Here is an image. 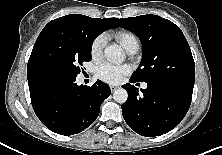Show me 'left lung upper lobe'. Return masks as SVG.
Returning <instances> with one entry per match:
<instances>
[{
    "instance_id": "5c2ea615",
    "label": "left lung upper lobe",
    "mask_w": 222,
    "mask_h": 155,
    "mask_svg": "<svg viewBox=\"0 0 222 155\" xmlns=\"http://www.w3.org/2000/svg\"><path fill=\"white\" fill-rule=\"evenodd\" d=\"M142 44V61L131 78L138 82H167L193 89L195 63L186 38L173 22L157 15L117 19Z\"/></svg>"
}]
</instances>
